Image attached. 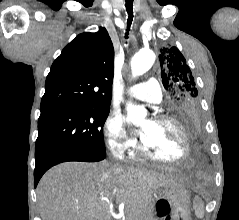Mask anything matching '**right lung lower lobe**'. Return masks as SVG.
<instances>
[{
  "label": "right lung lower lobe",
  "mask_w": 239,
  "mask_h": 220,
  "mask_svg": "<svg viewBox=\"0 0 239 220\" xmlns=\"http://www.w3.org/2000/svg\"><path fill=\"white\" fill-rule=\"evenodd\" d=\"M105 153L84 150L57 149L35 156L34 185L37 186L42 175L52 166L66 161L97 162L105 158Z\"/></svg>",
  "instance_id": "98d812e1"
}]
</instances>
